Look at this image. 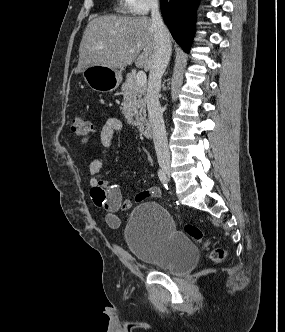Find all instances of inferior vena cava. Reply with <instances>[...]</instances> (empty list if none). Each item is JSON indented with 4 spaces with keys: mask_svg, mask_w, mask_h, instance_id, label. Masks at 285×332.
Wrapping results in <instances>:
<instances>
[{
    "mask_svg": "<svg viewBox=\"0 0 285 332\" xmlns=\"http://www.w3.org/2000/svg\"><path fill=\"white\" fill-rule=\"evenodd\" d=\"M151 17L154 28L155 55L149 73L146 102L158 162L159 164H169L170 152L163 120V112L159 102V91L161 78L171 55V40L169 31L159 12L158 0H153L151 4Z\"/></svg>",
    "mask_w": 285,
    "mask_h": 332,
    "instance_id": "obj_1",
    "label": "inferior vena cava"
}]
</instances>
